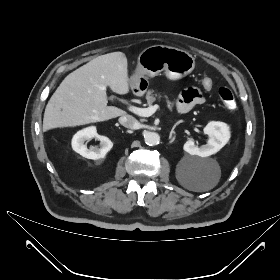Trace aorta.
I'll list each match as a JSON object with an SVG mask.
<instances>
[{"mask_svg": "<svg viewBox=\"0 0 280 280\" xmlns=\"http://www.w3.org/2000/svg\"><path fill=\"white\" fill-rule=\"evenodd\" d=\"M144 141L149 146H155L160 142V136L156 132H147L144 135Z\"/></svg>", "mask_w": 280, "mask_h": 280, "instance_id": "1", "label": "aorta"}]
</instances>
